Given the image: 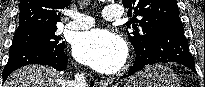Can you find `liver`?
Here are the masks:
<instances>
[{"label":"liver","instance_id":"6515ba94","mask_svg":"<svg viewBox=\"0 0 205 87\" xmlns=\"http://www.w3.org/2000/svg\"><path fill=\"white\" fill-rule=\"evenodd\" d=\"M62 74L49 66L29 65L12 73L4 87H68Z\"/></svg>","mask_w":205,"mask_h":87}]
</instances>
